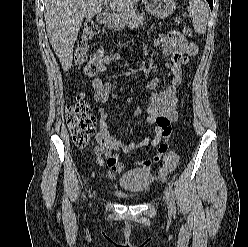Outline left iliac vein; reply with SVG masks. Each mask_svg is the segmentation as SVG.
Returning <instances> with one entry per match:
<instances>
[{
    "label": "left iliac vein",
    "mask_w": 248,
    "mask_h": 247,
    "mask_svg": "<svg viewBox=\"0 0 248 247\" xmlns=\"http://www.w3.org/2000/svg\"><path fill=\"white\" fill-rule=\"evenodd\" d=\"M164 200H165V202L167 204V207H168L169 211L172 212L171 211V198H170V189L169 188L165 189Z\"/></svg>",
    "instance_id": "1"
}]
</instances>
